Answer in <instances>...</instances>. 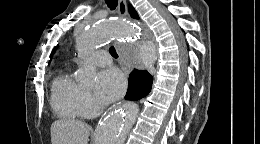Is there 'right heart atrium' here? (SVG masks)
I'll return each instance as SVG.
<instances>
[{"label":"right heart atrium","mask_w":260,"mask_h":144,"mask_svg":"<svg viewBox=\"0 0 260 144\" xmlns=\"http://www.w3.org/2000/svg\"><path fill=\"white\" fill-rule=\"evenodd\" d=\"M81 104L85 115H90L96 108L94 97L89 91L83 90L81 95Z\"/></svg>","instance_id":"right-heart-atrium-1"}]
</instances>
